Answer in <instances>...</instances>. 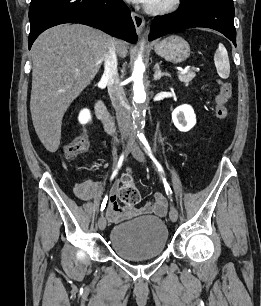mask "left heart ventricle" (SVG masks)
Wrapping results in <instances>:
<instances>
[{
	"label": "left heart ventricle",
	"instance_id": "obj_1",
	"mask_svg": "<svg viewBox=\"0 0 261 306\" xmlns=\"http://www.w3.org/2000/svg\"><path fill=\"white\" fill-rule=\"evenodd\" d=\"M165 0H151L150 2L151 3H154V4H159V3H162L164 2Z\"/></svg>",
	"mask_w": 261,
	"mask_h": 306
}]
</instances>
